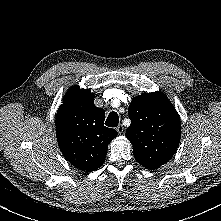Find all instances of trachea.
I'll return each instance as SVG.
<instances>
[{"label": "trachea", "mask_w": 221, "mask_h": 221, "mask_svg": "<svg viewBox=\"0 0 221 221\" xmlns=\"http://www.w3.org/2000/svg\"><path fill=\"white\" fill-rule=\"evenodd\" d=\"M118 123H119V116L117 114V112H111L109 113L107 119H106V126L108 127H116L118 126Z\"/></svg>", "instance_id": "1"}]
</instances>
